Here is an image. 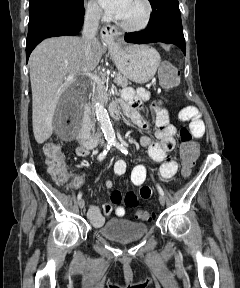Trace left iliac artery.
Masks as SVG:
<instances>
[{
    "instance_id": "obj_1",
    "label": "left iliac artery",
    "mask_w": 240,
    "mask_h": 288,
    "mask_svg": "<svg viewBox=\"0 0 240 288\" xmlns=\"http://www.w3.org/2000/svg\"><path fill=\"white\" fill-rule=\"evenodd\" d=\"M113 145L116 146L117 149H119L122 153L124 154H128V150L124 144V142H118V141H114L113 142ZM157 186V189H158V192L161 196H164V191L163 189L159 186V185H156Z\"/></svg>"
}]
</instances>
